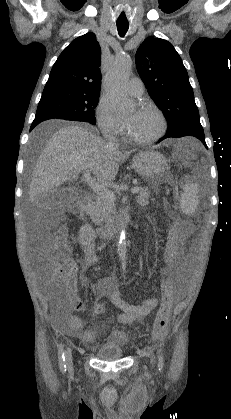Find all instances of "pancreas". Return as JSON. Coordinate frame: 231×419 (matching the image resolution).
Instances as JSON below:
<instances>
[{
	"instance_id": "1",
	"label": "pancreas",
	"mask_w": 231,
	"mask_h": 419,
	"mask_svg": "<svg viewBox=\"0 0 231 419\" xmlns=\"http://www.w3.org/2000/svg\"><path fill=\"white\" fill-rule=\"evenodd\" d=\"M149 191L148 188H141L138 196L137 203L144 207L149 204ZM116 212L115 201L105 199L100 196L95 197V202L88 208V215L92 222L96 225L108 223L113 218Z\"/></svg>"
}]
</instances>
